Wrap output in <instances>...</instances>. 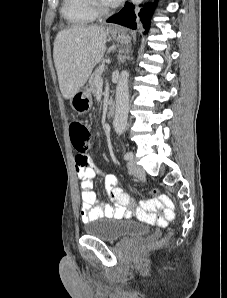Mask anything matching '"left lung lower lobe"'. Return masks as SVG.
<instances>
[{"label":"left lung lower lobe","mask_w":227,"mask_h":298,"mask_svg":"<svg viewBox=\"0 0 227 298\" xmlns=\"http://www.w3.org/2000/svg\"><path fill=\"white\" fill-rule=\"evenodd\" d=\"M134 5L126 3L124 8L116 15L107 19V22L116 23L125 27L136 29V21L141 22L146 29L145 34L150 28V18L154 9L153 4L144 5L143 8L135 13Z\"/></svg>","instance_id":"left-lung-lower-lobe-1"}]
</instances>
